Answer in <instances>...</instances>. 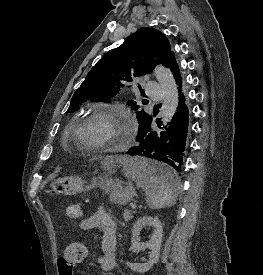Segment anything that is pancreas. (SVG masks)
<instances>
[{"label": "pancreas", "instance_id": "obj_1", "mask_svg": "<svg viewBox=\"0 0 263 275\" xmlns=\"http://www.w3.org/2000/svg\"><path fill=\"white\" fill-rule=\"evenodd\" d=\"M123 218L126 222L129 221L132 218L131 212L128 210H125V212L123 213Z\"/></svg>", "mask_w": 263, "mask_h": 275}]
</instances>
